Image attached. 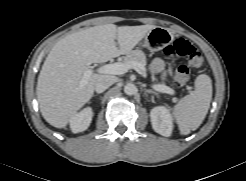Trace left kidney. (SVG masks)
Masks as SVG:
<instances>
[{"label":"left kidney","mask_w":246,"mask_h":181,"mask_svg":"<svg viewBox=\"0 0 246 181\" xmlns=\"http://www.w3.org/2000/svg\"><path fill=\"white\" fill-rule=\"evenodd\" d=\"M152 128L158 134L169 137L173 130V118L163 106L154 107L150 112Z\"/></svg>","instance_id":"left-kidney-1"}]
</instances>
